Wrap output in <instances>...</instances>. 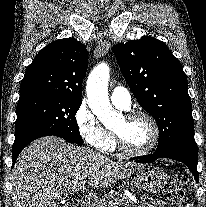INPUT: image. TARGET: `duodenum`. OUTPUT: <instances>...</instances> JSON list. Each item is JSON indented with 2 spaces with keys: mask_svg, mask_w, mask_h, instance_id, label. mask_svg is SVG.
Wrapping results in <instances>:
<instances>
[{
  "mask_svg": "<svg viewBox=\"0 0 206 207\" xmlns=\"http://www.w3.org/2000/svg\"><path fill=\"white\" fill-rule=\"evenodd\" d=\"M76 207H85L82 202H76Z\"/></svg>",
  "mask_w": 206,
  "mask_h": 207,
  "instance_id": "410a0bca",
  "label": "duodenum"
}]
</instances>
